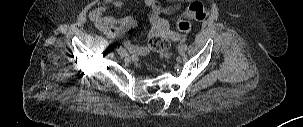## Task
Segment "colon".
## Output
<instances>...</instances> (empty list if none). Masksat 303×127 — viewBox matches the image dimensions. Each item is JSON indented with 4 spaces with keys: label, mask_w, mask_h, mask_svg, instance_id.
Listing matches in <instances>:
<instances>
[{
    "label": "colon",
    "mask_w": 303,
    "mask_h": 127,
    "mask_svg": "<svg viewBox=\"0 0 303 127\" xmlns=\"http://www.w3.org/2000/svg\"><path fill=\"white\" fill-rule=\"evenodd\" d=\"M208 15L207 8L199 3H191L177 21V29L180 33H165L153 36L149 39V48L166 60L170 57V44L172 40H179L182 33L190 30V20L203 21Z\"/></svg>",
    "instance_id": "1"
}]
</instances>
